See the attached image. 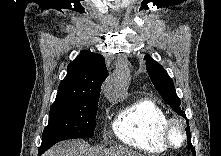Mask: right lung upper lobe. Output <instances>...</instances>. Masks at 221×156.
<instances>
[{"label":"right lung upper lobe","mask_w":221,"mask_h":156,"mask_svg":"<svg viewBox=\"0 0 221 156\" xmlns=\"http://www.w3.org/2000/svg\"><path fill=\"white\" fill-rule=\"evenodd\" d=\"M67 75L58 87L55 102L77 101L100 96V88L108 76L102 55L83 50L67 67Z\"/></svg>","instance_id":"right-lung-upper-lobe-1"}]
</instances>
